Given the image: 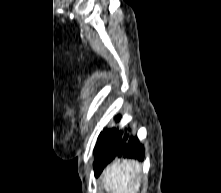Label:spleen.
<instances>
[{
	"instance_id": "obj_1",
	"label": "spleen",
	"mask_w": 221,
	"mask_h": 193,
	"mask_svg": "<svg viewBox=\"0 0 221 193\" xmlns=\"http://www.w3.org/2000/svg\"><path fill=\"white\" fill-rule=\"evenodd\" d=\"M140 174L141 166L135 161L115 162L104 172V188L109 193H137Z\"/></svg>"
}]
</instances>
